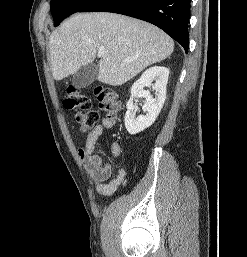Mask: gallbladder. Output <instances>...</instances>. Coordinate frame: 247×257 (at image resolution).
I'll list each match as a JSON object with an SVG mask.
<instances>
[{"instance_id": "1", "label": "gallbladder", "mask_w": 247, "mask_h": 257, "mask_svg": "<svg viewBox=\"0 0 247 257\" xmlns=\"http://www.w3.org/2000/svg\"><path fill=\"white\" fill-rule=\"evenodd\" d=\"M99 74V66L96 63H90L81 67L72 77V84L77 88H86L92 84Z\"/></svg>"}]
</instances>
